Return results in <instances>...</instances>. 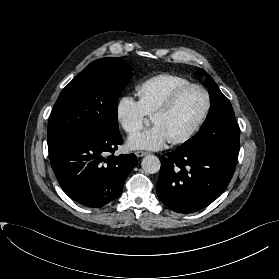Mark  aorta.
<instances>
[{
    "label": "aorta",
    "mask_w": 279,
    "mask_h": 279,
    "mask_svg": "<svg viewBox=\"0 0 279 279\" xmlns=\"http://www.w3.org/2000/svg\"><path fill=\"white\" fill-rule=\"evenodd\" d=\"M144 172L149 174H155L160 170L161 162L158 157L154 155H147L141 162Z\"/></svg>",
    "instance_id": "762f6f07"
}]
</instances>
